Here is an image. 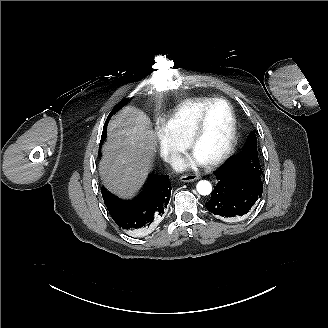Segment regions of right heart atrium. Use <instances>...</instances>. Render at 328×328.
Returning <instances> with one entry per match:
<instances>
[{
    "label": "right heart atrium",
    "instance_id": "1",
    "mask_svg": "<svg viewBox=\"0 0 328 328\" xmlns=\"http://www.w3.org/2000/svg\"><path fill=\"white\" fill-rule=\"evenodd\" d=\"M148 133L159 155L165 162L174 164L180 159L186 146L170 139L158 123L153 124Z\"/></svg>",
    "mask_w": 328,
    "mask_h": 328
}]
</instances>
